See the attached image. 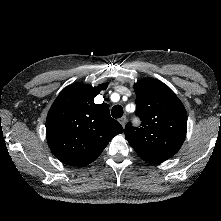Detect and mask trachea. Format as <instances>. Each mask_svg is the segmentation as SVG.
Masks as SVG:
<instances>
[{
	"mask_svg": "<svg viewBox=\"0 0 221 221\" xmlns=\"http://www.w3.org/2000/svg\"><path fill=\"white\" fill-rule=\"evenodd\" d=\"M111 115L113 118H120L123 115V108L121 105H115L111 110Z\"/></svg>",
	"mask_w": 221,
	"mask_h": 221,
	"instance_id": "1",
	"label": "trachea"
}]
</instances>
